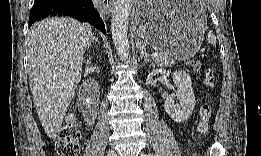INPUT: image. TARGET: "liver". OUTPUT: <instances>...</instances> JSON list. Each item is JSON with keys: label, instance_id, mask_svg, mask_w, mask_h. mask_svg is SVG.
Masks as SVG:
<instances>
[{"label": "liver", "instance_id": "1", "mask_svg": "<svg viewBox=\"0 0 261 156\" xmlns=\"http://www.w3.org/2000/svg\"><path fill=\"white\" fill-rule=\"evenodd\" d=\"M93 37L91 25L69 17L44 19L29 31V85L38 117L52 139L81 80L83 55Z\"/></svg>", "mask_w": 261, "mask_h": 156}]
</instances>
